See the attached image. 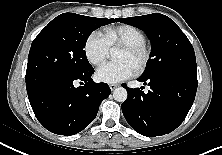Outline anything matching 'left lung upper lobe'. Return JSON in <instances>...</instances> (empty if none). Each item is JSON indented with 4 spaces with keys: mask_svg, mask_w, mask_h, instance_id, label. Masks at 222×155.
<instances>
[{
    "mask_svg": "<svg viewBox=\"0 0 222 155\" xmlns=\"http://www.w3.org/2000/svg\"><path fill=\"white\" fill-rule=\"evenodd\" d=\"M118 21L143 30L151 41L150 59L142 76L176 72L197 77L193 46L169 17L154 13Z\"/></svg>",
    "mask_w": 222,
    "mask_h": 155,
    "instance_id": "1",
    "label": "left lung upper lobe"
}]
</instances>
